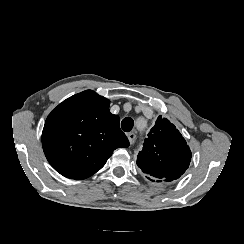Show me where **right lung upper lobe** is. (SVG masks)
<instances>
[{
    "label": "right lung upper lobe",
    "instance_id": "right-lung-upper-lobe-1",
    "mask_svg": "<svg viewBox=\"0 0 244 244\" xmlns=\"http://www.w3.org/2000/svg\"><path fill=\"white\" fill-rule=\"evenodd\" d=\"M110 101L86 90L63 101L47 117L42 146L51 166L70 179H85L99 171L117 148L129 141Z\"/></svg>",
    "mask_w": 244,
    "mask_h": 244
}]
</instances>
